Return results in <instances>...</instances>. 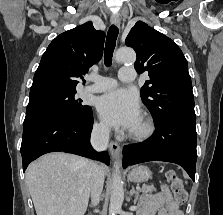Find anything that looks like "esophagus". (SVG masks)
<instances>
[{"mask_svg":"<svg viewBox=\"0 0 223 215\" xmlns=\"http://www.w3.org/2000/svg\"><path fill=\"white\" fill-rule=\"evenodd\" d=\"M120 18L118 15L113 14L111 16V24L115 25L116 27H120ZM110 153L113 157L118 156L120 153V145L114 141H112L109 145Z\"/></svg>","mask_w":223,"mask_h":215,"instance_id":"1","label":"esophagus"}]
</instances>
